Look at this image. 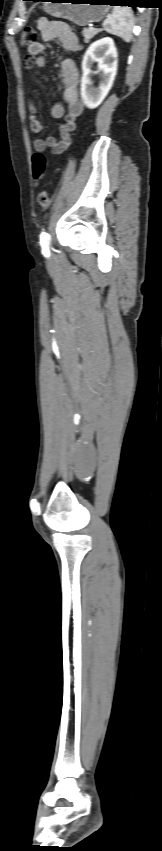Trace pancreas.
<instances>
[{"instance_id":"cf45deb5","label":"pancreas","mask_w":162,"mask_h":851,"mask_svg":"<svg viewBox=\"0 0 162 851\" xmlns=\"http://www.w3.org/2000/svg\"><path fill=\"white\" fill-rule=\"evenodd\" d=\"M100 31H101V29H95V28H85V29H83L82 34H83V37H84V42H85V43H89V42H90V40H91V39H92L95 35H97Z\"/></svg>"}]
</instances>
